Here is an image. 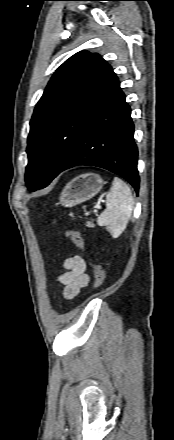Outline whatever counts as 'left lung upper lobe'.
<instances>
[{
	"label": "left lung upper lobe",
	"mask_w": 174,
	"mask_h": 440,
	"mask_svg": "<svg viewBox=\"0 0 174 440\" xmlns=\"http://www.w3.org/2000/svg\"><path fill=\"white\" fill-rule=\"evenodd\" d=\"M116 74L96 53L80 51L54 73L30 121L25 182L30 191L46 187L76 148L93 108Z\"/></svg>",
	"instance_id": "1"
}]
</instances>
